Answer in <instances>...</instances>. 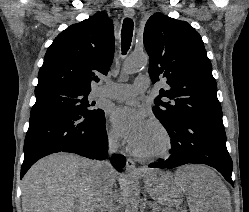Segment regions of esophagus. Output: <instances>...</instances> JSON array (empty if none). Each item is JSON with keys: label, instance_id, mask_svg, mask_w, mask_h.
Instances as JSON below:
<instances>
[{"label": "esophagus", "instance_id": "1", "mask_svg": "<svg viewBox=\"0 0 249 212\" xmlns=\"http://www.w3.org/2000/svg\"><path fill=\"white\" fill-rule=\"evenodd\" d=\"M124 14L126 17L132 18L134 16V9L131 7H126L124 9ZM126 172L128 174H134L136 172V164L130 157L126 161Z\"/></svg>", "mask_w": 249, "mask_h": 212}]
</instances>
